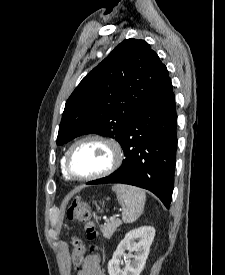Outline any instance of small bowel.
<instances>
[{
  "label": "small bowel",
  "mask_w": 225,
  "mask_h": 275,
  "mask_svg": "<svg viewBox=\"0 0 225 275\" xmlns=\"http://www.w3.org/2000/svg\"><path fill=\"white\" fill-rule=\"evenodd\" d=\"M77 275H105L101 269L99 258L97 256H87L83 260L81 269Z\"/></svg>",
  "instance_id": "small-bowel-1"
}]
</instances>
